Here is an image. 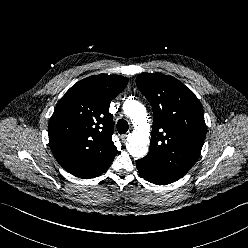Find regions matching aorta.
<instances>
[{"mask_svg":"<svg viewBox=\"0 0 248 248\" xmlns=\"http://www.w3.org/2000/svg\"><path fill=\"white\" fill-rule=\"evenodd\" d=\"M123 111L135 126V130L127 138V150L133 157H144L147 154V146L150 142L146 108L136 100H126L123 104Z\"/></svg>","mask_w":248,"mask_h":248,"instance_id":"obj_1","label":"aorta"}]
</instances>
